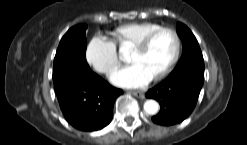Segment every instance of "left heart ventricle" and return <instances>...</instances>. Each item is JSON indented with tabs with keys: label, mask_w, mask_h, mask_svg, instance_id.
Instances as JSON below:
<instances>
[{
	"label": "left heart ventricle",
	"mask_w": 247,
	"mask_h": 145,
	"mask_svg": "<svg viewBox=\"0 0 247 145\" xmlns=\"http://www.w3.org/2000/svg\"><path fill=\"white\" fill-rule=\"evenodd\" d=\"M175 48L173 36L168 32L157 35L145 51L132 50L128 61L142 67L152 77L170 61Z\"/></svg>",
	"instance_id": "1"
}]
</instances>
